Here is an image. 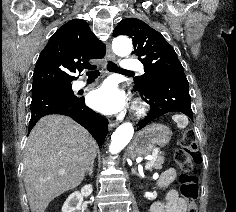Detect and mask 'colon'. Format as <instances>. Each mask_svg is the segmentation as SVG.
Masks as SVG:
<instances>
[{
	"instance_id": "5ec220e1",
	"label": "colon",
	"mask_w": 236,
	"mask_h": 212,
	"mask_svg": "<svg viewBox=\"0 0 236 212\" xmlns=\"http://www.w3.org/2000/svg\"><path fill=\"white\" fill-rule=\"evenodd\" d=\"M202 156L199 145L192 131H187L180 147L175 152V161L180 168V193L188 203V212H198V181L195 167L201 163Z\"/></svg>"
}]
</instances>
